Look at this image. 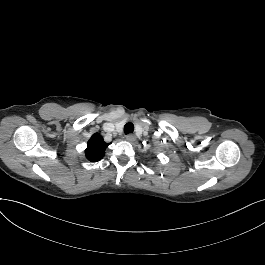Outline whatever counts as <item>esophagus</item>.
Instances as JSON below:
<instances>
[{"label":"esophagus","instance_id":"esophagus-1","mask_svg":"<svg viewBox=\"0 0 265 265\" xmlns=\"http://www.w3.org/2000/svg\"><path fill=\"white\" fill-rule=\"evenodd\" d=\"M126 139L129 141V142H135L136 141V139H137V137L134 135V134H128L127 136H126Z\"/></svg>","mask_w":265,"mask_h":265}]
</instances>
